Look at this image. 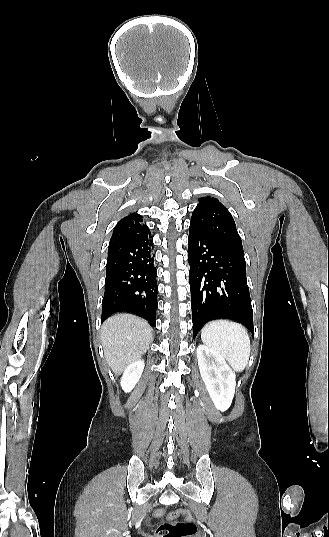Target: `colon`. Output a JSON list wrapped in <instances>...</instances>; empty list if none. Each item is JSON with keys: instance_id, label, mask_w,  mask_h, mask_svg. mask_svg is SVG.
<instances>
[{"instance_id": "obj_1", "label": "colon", "mask_w": 329, "mask_h": 537, "mask_svg": "<svg viewBox=\"0 0 329 537\" xmlns=\"http://www.w3.org/2000/svg\"><path fill=\"white\" fill-rule=\"evenodd\" d=\"M153 516L162 520L169 518L157 528V537H193L197 533L192 515L186 509H178L171 513L165 509L156 510ZM179 518L180 520H177Z\"/></svg>"}]
</instances>
